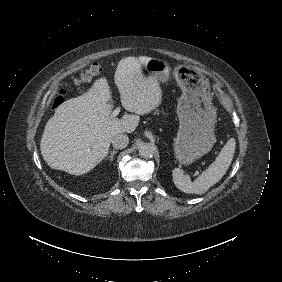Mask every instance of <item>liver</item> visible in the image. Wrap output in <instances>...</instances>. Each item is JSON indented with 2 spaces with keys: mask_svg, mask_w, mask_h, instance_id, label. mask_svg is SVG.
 I'll use <instances>...</instances> for the list:
<instances>
[{
  "mask_svg": "<svg viewBox=\"0 0 282 282\" xmlns=\"http://www.w3.org/2000/svg\"><path fill=\"white\" fill-rule=\"evenodd\" d=\"M149 57L121 59L114 75L122 106L137 115L111 117L110 87L105 77L94 82L83 95L63 102L46 123L40 150L52 168L72 175H82L99 164L112 138L131 133L140 117L161 104L162 90L155 77H145L141 66Z\"/></svg>",
  "mask_w": 282,
  "mask_h": 282,
  "instance_id": "1",
  "label": "liver"
}]
</instances>
